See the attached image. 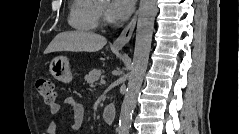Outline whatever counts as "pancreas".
<instances>
[{
    "mask_svg": "<svg viewBox=\"0 0 239 134\" xmlns=\"http://www.w3.org/2000/svg\"><path fill=\"white\" fill-rule=\"evenodd\" d=\"M101 73L102 72L100 69H94L85 76V80L87 81V83L93 84L99 79V77L101 76Z\"/></svg>",
    "mask_w": 239,
    "mask_h": 134,
    "instance_id": "1",
    "label": "pancreas"
}]
</instances>
